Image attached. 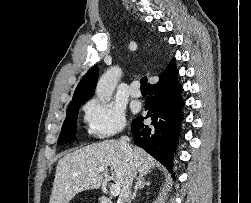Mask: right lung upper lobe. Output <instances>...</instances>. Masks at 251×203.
<instances>
[{
	"label": "right lung upper lobe",
	"mask_w": 251,
	"mask_h": 203,
	"mask_svg": "<svg viewBox=\"0 0 251 203\" xmlns=\"http://www.w3.org/2000/svg\"><path fill=\"white\" fill-rule=\"evenodd\" d=\"M174 64V59L171 60V62L169 63V65L167 66V68L161 73V75L159 76V78H161V76L167 72V70ZM99 75V71H98V67L97 66H93L92 68H90L88 70V72L84 75V77L82 78V80L80 81V83L78 84V86L76 87V90L74 92V97L72 99V102L70 104L73 103H77V102H86L87 100H89L94 93L96 84H97V78Z\"/></svg>",
	"instance_id": "cb5924a9"
}]
</instances>
